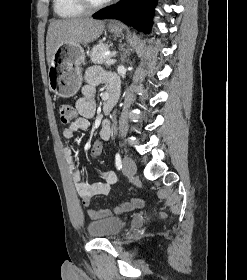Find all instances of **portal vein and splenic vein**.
Listing matches in <instances>:
<instances>
[{
	"instance_id": "1",
	"label": "portal vein and splenic vein",
	"mask_w": 247,
	"mask_h": 280,
	"mask_svg": "<svg viewBox=\"0 0 247 280\" xmlns=\"http://www.w3.org/2000/svg\"><path fill=\"white\" fill-rule=\"evenodd\" d=\"M115 54H116V53H112L110 56H115ZM105 55H106V54H105ZM114 62H115L114 59H108V60L106 61L107 64H113Z\"/></svg>"
}]
</instances>
